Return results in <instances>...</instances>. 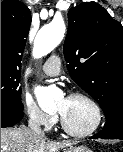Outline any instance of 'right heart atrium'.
Returning a JSON list of instances; mask_svg holds the SVG:
<instances>
[{
    "instance_id": "1",
    "label": "right heart atrium",
    "mask_w": 123,
    "mask_h": 152,
    "mask_svg": "<svg viewBox=\"0 0 123 152\" xmlns=\"http://www.w3.org/2000/svg\"><path fill=\"white\" fill-rule=\"evenodd\" d=\"M22 103L25 114L33 123L49 128L56 122V116L44 112L31 97L25 96Z\"/></svg>"
}]
</instances>
